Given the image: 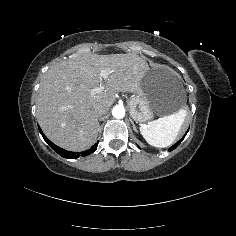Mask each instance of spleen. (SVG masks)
<instances>
[{
  "instance_id": "spleen-1",
  "label": "spleen",
  "mask_w": 236,
  "mask_h": 236,
  "mask_svg": "<svg viewBox=\"0 0 236 236\" xmlns=\"http://www.w3.org/2000/svg\"><path fill=\"white\" fill-rule=\"evenodd\" d=\"M186 116L187 109H181L175 114L142 125L140 127L141 134L154 147H168L177 138Z\"/></svg>"
}]
</instances>
